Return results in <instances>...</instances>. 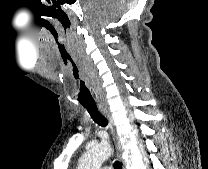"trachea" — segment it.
Listing matches in <instances>:
<instances>
[{
  "mask_svg": "<svg viewBox=\"0 0 208 169\" xmlns=\"http://www.w3.org/2000/svg\"><path fill=\"white\" fill-rule=\"evenodd\" d=\"M84 108L87 109L88 113L90 114L91 118L94 120L101 127H106L108 125V120L105 116L100 112L96 105L92 106H85ZM115 169H122V163L116 161L114 164Z\"/></svg>",
  "mask_w": 208,
  "mask_h": 169,
  "instance_id": "obj_1",
  "label": "trachea"
}]
</instances>
